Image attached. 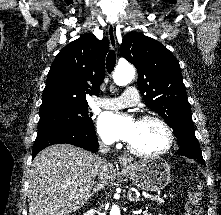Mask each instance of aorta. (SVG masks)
Here are the masks:
<instances>
[{
  "label": "aorta",
  "instance_id": "aorta-1",
  "mask_svg": "<svg viewBox=\"0 0 221 215\" xmlns=\"http://www.w3.org/2000/svg\"><path fill=\"white\" fill-rule=\"evenodd\" d=\"M135 69L131 64L118 65L113 74V80L118 86H125L133 80ZM110 215H120V209L117 205H113Z\"/></svg>",
  "mask_w": 221,
  "mask_h": 215
}]
</instances>
